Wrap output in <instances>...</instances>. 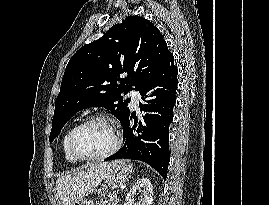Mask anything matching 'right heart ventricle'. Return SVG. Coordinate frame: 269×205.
Masks as SVG:
<instances>
[{
    "label": "right heart ventricle",
    "instance_id": "e07e8e85",
    "mask_svg": "<svg viewBox=\"0 0 269 205\" xmlns=\"http://www.w3.org/2000/svg\"><path fill=\"white\" fill-rule=\"evenodd\" d=\"M74 127H70L66 132L65 134L63 135V138H62V150H63V154H64V157L65 159L68 161V162H71V163H75L77 162L78 160L75 159L72 154L70 153L69 151V137H70V134L72 132Z\"/></svg>",
    "mask_w": 269,
    "mask_h": 205
}]
</instances>
